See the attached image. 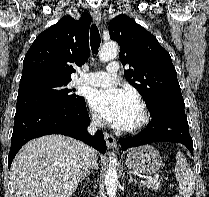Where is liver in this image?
<instances>
[{"label":"liver","mask_w":209,"mask_h":197,"mask_svg":"<svg viewBox=\"0 0 209 197\" xmlns=\"http://www.w3.org/2000/svg\"><path fill=\"white\" fill-rule=\"evenodd\" d=\"M86 147L57 134L30 140L11 167L17 197H71L85 168Z\"/></svg>","instance_id":"obj_1"}]
</instances>
